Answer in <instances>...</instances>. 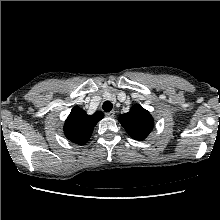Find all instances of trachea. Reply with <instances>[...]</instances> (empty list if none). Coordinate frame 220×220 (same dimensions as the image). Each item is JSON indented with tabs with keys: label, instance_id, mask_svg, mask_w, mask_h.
<instances>
[{
	"label": "trachea",
	"instance_id": "3493384b",
	"mask_svg": "<svg viewBox=\"0 0 220 220\" xmlns=\"http://www.w3.org/2000/svg\"><path fill=\"white\" fill-rule=\"evenodd\" d=\"M112 107H113V105H112V103H111L110 101L104 102V103H103V106H102V108H103V110H104L105 112L111 111Z\"/></svg>",
	"mask_w": 220,
	"mask_h": 220
}]
</instances>
